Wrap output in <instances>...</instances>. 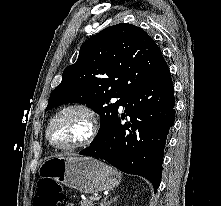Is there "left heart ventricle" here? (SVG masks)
Instances as JSON below:
<instances>
[{
  "label": "left heart ventricle",
  "mask_w": 221,
  "mask_h": 206,
  "mask_svg": "<svg viewBox=\"0 0 221 206\" xmlns=\"http://www.w3.org/2000/svg\"><path fill=\"white\" fill-rule=\"evenodd\" d=\"M87 123L79 113H68L58 119L52 129L51 138L56 144H68L82 138L86 132Z\"/></svg>",
  "instance_id": "left-heart-ventricle-1"
}]
</instances>
